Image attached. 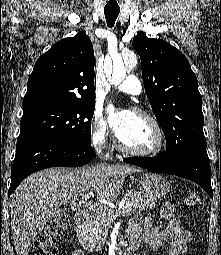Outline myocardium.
Segmentation results:
<instances>
[{
  "label": "myocardium",
  "instance_id": "1",
  "mask_svg": "<svg viewBox=\"0 0 221 255\" xmlns=\"http://www.w3.org/2000/svg\"><path fill=\"white\" fill-rule=\"evenodd\" d=\"M132 113L145 118L146 120H148L152 124V126L154 127L155 132H156V138H157L156 144H155L154 147H152L148 150L132 149V148H129V147L125 146L121 142V140L119 139L118 135L116 134L115 135V145H116V147L120 151H122L126 154H129V155H132V156H138V157H152V156H156V155L160 154L163 151L164 147H165V134H164L162 126L159 123V121L157 120V118L155 116H153L152 114H150L149 112L144 111V110L139 109V108H134L132 110Z\"/></svg>",
  "mask_w": 221,
  "mask_h": 255
}]
</instances>
